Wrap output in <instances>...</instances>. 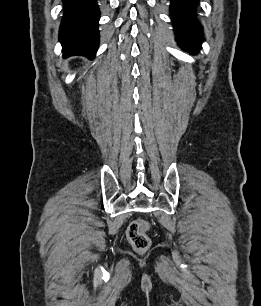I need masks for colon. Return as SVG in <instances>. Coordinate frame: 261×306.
Masks as SVG:
<instances>
[{
	"label": "colon",
	"mask_w": 261,
	"mask_h": 306,
	"mask_svg": "<svg viewBox=\"0 0 261 306\" xmlns=\"http://www.w3.org/2000/svg\"><path fill=\"white\" fill-rule=\"evenodd\" d=\"M148 227V223L143 219H136L130 223L127 229V238L134 250L144 252L149 248Z\"/></svg>",
	"instance_id": "5ec220e1"
}]
</instances>
